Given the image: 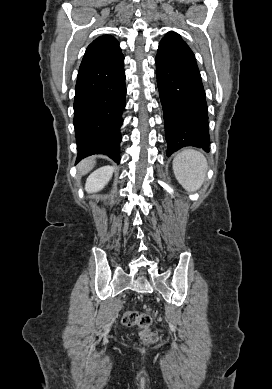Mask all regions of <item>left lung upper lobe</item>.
I'll return each instance as SVG.
<instances>
[{
	"label": "left lung upper lobe",
	"mask_w": 272,
	"mask_h": 389,
	"mask_svg": "<svg viewBox=\"0 0 272 389\" xmlns=\"http://www.w3.org/2000/svg\"><path fill=\"white\" fill-rule=\"evenodd\" d=\"M159 47H163L172 52L195 57L194 53L186 44V42L181 38V36L173 31L168 32L165 37L162 38Z\"/></svg>",
	"instance_id": "obj_1"
}]
</instances>
